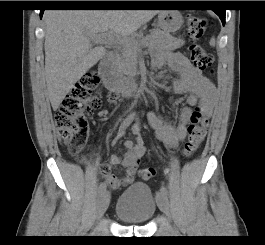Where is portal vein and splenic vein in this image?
I'll return each instance as SVG.
<instances>
[{
    "instance_id": "portal-vein-and-splenic-vein-1",
    "label": "portal vein and splenic vein",
    "mask_w": 265,
    "mask_h": 245,
    "mask_svg": "<svg viewBox=\"0 0 265 245\" xmlns=\"http://www.w3.org/2000/svg\"><path fill=\"white\" fill-rule=\"evenodd\" d=\"M92 39L95 42H99V43H113L115 42V39L119 40V42L122 44L131 43V41L128 40L127 38H120L117 36L115 37L112 32L93 34ZM146 43H147V39H143L142 44H146Z\"/></svg>"
}]
</instances>
